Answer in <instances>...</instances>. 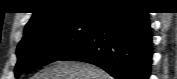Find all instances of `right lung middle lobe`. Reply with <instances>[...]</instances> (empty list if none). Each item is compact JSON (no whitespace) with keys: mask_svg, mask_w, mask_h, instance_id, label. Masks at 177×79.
<instances>
[{"mask_svg":"<svg viewBox=\"0 0 177 79\" xmlns=\"http://www.w3.org/2000/svg\"><path fill=\"white\" fill-rule=\"evenodd\" d=\"M99 15L43 26L24 34L17 47L15 76L60 60L84 42Z\"/></svg>","mask_w":177,"mask_h":79,"instance_id":"1","label":"right lung middle lobe"}]
</instances>
